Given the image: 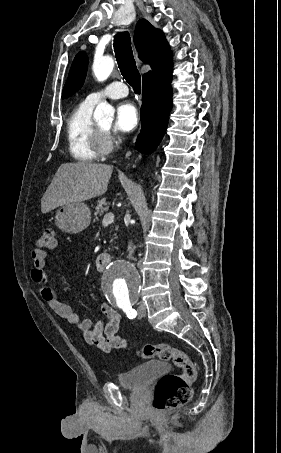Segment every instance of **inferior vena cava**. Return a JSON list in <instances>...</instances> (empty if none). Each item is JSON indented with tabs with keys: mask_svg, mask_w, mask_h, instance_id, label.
<instances>
[{
	"mask_svg": "<svg viewBox=\"0 0 281 453\" xmlns=\"http://www.w3.org/2000/svg\"><path fill=\"white\" fill-rule=\"evenodd\" d=\"M134 249H135V247H133L132 243H129L128 249H127L129 255H133Z\"/></svg>",
	"mask_w": 281,
	"mask_h": 453,
	"instance_id": "inferior-vena-cava-1",
	"label": "inferior vena cava"
}]
</instances>
